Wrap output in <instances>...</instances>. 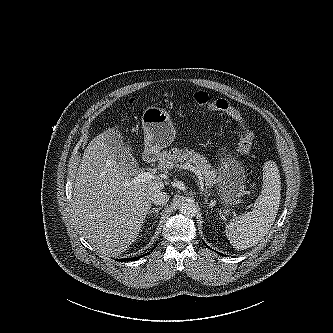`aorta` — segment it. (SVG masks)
<instances>
[{
	"mask_svg": "<svg viewBox=\"0 0 333 333\" xmlns=\"http://www.w3.org/2000/svg\"><path fill=\"white\" fill-rule=\"evenodd\" d=\"M179 211L183 216L192 218L197 213V206L192 202H184L181 204Z\"/></svg>",
	"mask_w": 333,
	"mask_h": 333,
	"instance_id": "aorta-1",
	"label": "aorta"
}]
</instances>
